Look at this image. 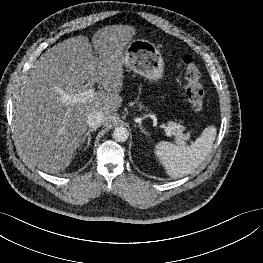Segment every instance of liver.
Here are the masks:
<instances>
[{
    "label": "liver",
    "mask_w": 263,
    "mask_h": 263,
    "mask_svg": "<svg viewBox=\"0 0 263 263\" xmlns=\"http://www.w3.org/2000/svg\"><path fill=\"white\" fill-rule=\"evenodd\" d=\"M136 29L112 25L85 36L68 38L43 53L14 95L15 144L34 166L48 173L64 171L87 130V115L99 111L106 126L122 104L123 53ZM96 52L94 55L93 48ZM100 90L84 102L66 105L62 93Z\"/></svg>",
    "instance_id": "6515ba94"
}]
</instances>
